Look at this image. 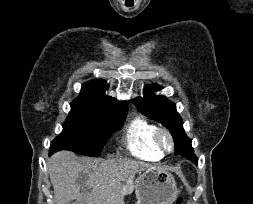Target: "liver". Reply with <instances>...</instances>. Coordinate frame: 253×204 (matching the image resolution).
Instances as JSON below:
<instances>
[{"label":"liver","instance_id":"obj_1","mask_svg":"<svg viewBox=\"0 0 253 204\" xmlns=\"http://www.w3.org/2000/svg\"><path fill=\"white\" fill-rule=\"evenodd\" d=\"M54 204H122V181L149 167L133 159L80 158L69 151L54 154L47 163Z\"/></svg>","mask_w":253,"mask_h":204}]
</instances>
